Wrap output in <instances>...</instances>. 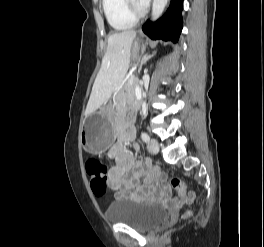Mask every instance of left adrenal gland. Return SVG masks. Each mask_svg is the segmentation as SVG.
Instances as JSON below:
<instances>
[{"mask_svg": "<svg viewBox=\"0 0 264 247\" xmlns=\"http://www.w3.org/2000/svg\"><path fill=\"white\" fill-rule=\"evenodd\" d=\"M153 56H154V54H152V55H148V54L143 55V57H142V62H141V66H142L143 64H145V63H146L149 59H151ZM141 66H140V69H141Z\"/></svg>", "mask_w": 264, "mask_h": 247, "instance_id": "left-adrenal-gland-1", "label": "left adrenal gland"}]
</instances>
